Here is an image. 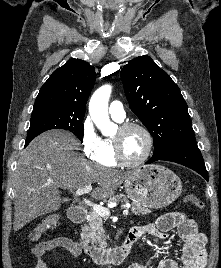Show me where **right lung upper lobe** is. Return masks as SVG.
Wrapping results in <instances>:
<instances>
[{
  "label": "right lung upper lobe",
  "instance_id": "cb5924a9",
  "mask_svg": "<svg viewBox=\"0 0 221 268\" xmlns=\"http://www.w3.org/2000/svg\"><path fill=\"white\" fill-rule=\"evenodd\" d=\"M95 79V69L89 63L81 59L68 60L41 87L33 111L62 109L85 114Z\"/></svg>",
  "mask_w": 221,
  "mask_h": 268
}]
</instances>
